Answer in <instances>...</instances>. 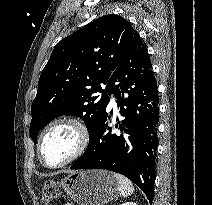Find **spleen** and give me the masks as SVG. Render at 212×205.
<instances>
[{"label":"spleen","mask_w":212,"mask_h":205,"mask_svg":"<svg viewBox=\"0 0 212 205\" xmlns=\"http://www.w3.org/2000/svg\"><path fill=\"white\" fill-rule=\"evenodd\" d=\"M114 177L117 181L118 189L122 197H127L134 192V186L128 178L118 173H114Z\"/></svg>","instance_id":"3e777b00"}]
</instances>
